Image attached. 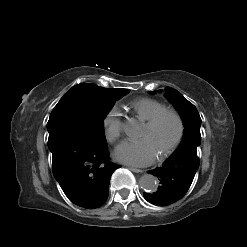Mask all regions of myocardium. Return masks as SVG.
<instances>
[{"label": "myocardium", "instance_id": "myocardium-1", "mask_svg": "<svg viewBox=\"0 0 247 247\" xmlns=\"http://www.w3.org/2000/svg\"><path fill=\"white\" fill-rule=\"evenodd\" d=\"M165 117H172L176 123V133L171 140V142L161 151L159 152V156L161 158H164L168 156L170 153H172L177 146L182 141V138L184 136V121L182 116L178 111L171 108H164L161 111L157 112L154 116H152L150 119H148L145 122V126H147L149 129L155 128Z\"/></svg>", "mask_w": 247, "mask_h": 247}]
</instances>
